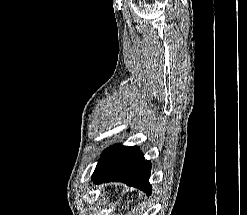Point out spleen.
<instances>
[{
  "instance_id": "1",
  "label": "spleen",
  "mask_w": 247,
  "mask_h": 215,
  "mask_svg": "<svg viewBox=\"0 0 247 215\" xmlns=\"http://www.w3.org/2000/svg\"><path fill=\"white\" fill-rule=\"evenodd\" d=\"M126 208H129V202L127 203V207Z\"/></svg>"
}]
</instances>
